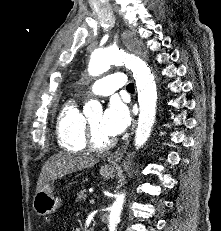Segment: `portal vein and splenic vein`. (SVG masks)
<instances>
[{"instance_id":"18ae733b","label":"portal vein and splenic vein","mask_w":221,"mask_h":231,"mask_svg":"<svg viewBox=\"0 0 221 231\" xmlns=\"http://www.w3.org/2000/svg\"><path fill=\"white\" fill-rule=\"evenodd\" d=\"M89 202H90V204H94L95 203V198L91 197Z\"/></svg>"}]
</instances>
